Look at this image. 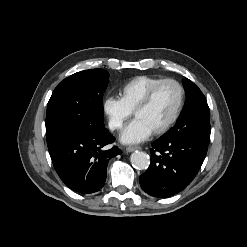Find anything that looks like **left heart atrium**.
Listing matches in <instances>:
<instances>
[{
    "label": "left heart atrium",
    "instance_id": "1",
    "mask_svg": "<svg viewBox=\"0 0 247 247\" xmlns=\"http://www.w3.org/2000/svg\"><path fill=\"white\" fill-rule=\"evenodd\" d=\"M152 133L148 126L135 118L123 129L120 138L123 143H139L147 140Z\"/></svg>",
    "mask_w": 247,
    "mask_h": 247
}]
</instances>
